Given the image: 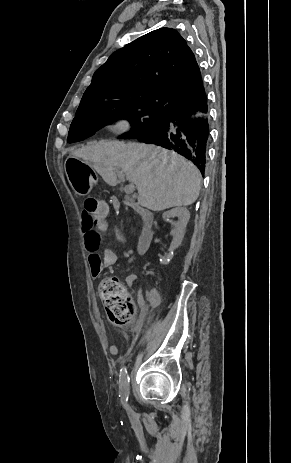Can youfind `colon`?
<instances>
[{"label":"colon","mask_w":291,"mask_h":463,"mask_svg":"<svg viewBox=\"0 0 291 463\" xmlns=\"http://www.w3.org/2000/svg\"><path fill=\"white\" fill-rule=\"evenodd\" d=\"M109 211L104 201L88 198L82 207L84 229H95L97 217H107ZM99 295L109 319L116 325H128L134 318V304L130 294L117 277L104 278L99 286ZM157 296L153 297L156 301Z\"/></svg>","instance_id":"colon-1"}]
</instances>
